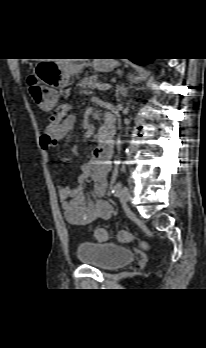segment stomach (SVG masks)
<instances>
[{"mask_svg": "<svg viewBox=\"0 0 206 348\" xmlns=\"http://www.w3.org/2000/svg\"><path fill=\"white\" fill-rule=\"evenodd\" d=\"M113 59H94L92 63H57L54 61L39 62L34 68V73L41 83L52 88L53 93H45L41 90L35 97V102L43 111H50L58 102L56 90L68 86L71 76L78 75L84 67L92 66L96 71L110 72L116 67Z\"/></svg>", "mask_w": 206, "mask_h": 348, "instance_id": "0dacf381", "label": "stomach"}]
</instances>
